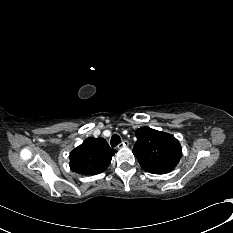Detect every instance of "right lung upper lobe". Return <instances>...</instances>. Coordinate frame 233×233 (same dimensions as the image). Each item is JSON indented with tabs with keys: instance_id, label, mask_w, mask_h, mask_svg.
I'll return each mask as SVG.
<instances>
[{
	"instance_id": "obj_1",
	"label": "right lung upper lobe",
	"mask_w": 233,
	"mask_h": 233,
	"mask_svg": "<svg viewBox=\"0 0 233 233\" xmlns=\"http://www.w3.org/2000/svg\"><path fill=\"white\" fill-rule=\"evenodd\" d=\"M116 150L104 138L89 137L70 153V168L83 175H96L107 169Z\"/></svg>"
}]
</instances>
